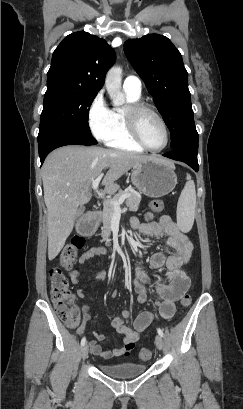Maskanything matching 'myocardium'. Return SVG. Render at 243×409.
Instances as JSON below:
<instances>
[{
  "instance_id": "f54148a6",
  "label": "myocardium",
  "mask_w": 243,
  "mask_h": 409,
  "mask_svg": "<svg viewBox=\"0 0 243 409\" xmlns=\"http://www.w3.org/2000/svg\"><path fill=\"white\" fill-rule=\"evenodd\" d=\"M145 112L150 113L153 116H155L157 120L160 122V124L162 125V128L164 130L165 143L159 148H153L147 145L141 136L139 125H138V119H139V116ZM123 116H124L125 123H126L127 130H128L130 137L135 143H137L143 149L151 151V152H160L168 146L169 141H170L169 128L167 126L166 121L162 117V115L159 112H157L154 108L142 102H131L123 110Z\"/></svg>"
}]
</instances>
